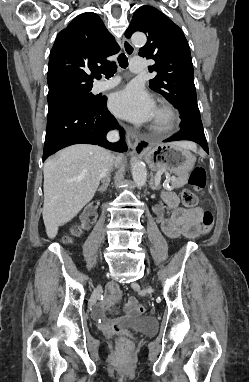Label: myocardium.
Masks as SVG:
<instances>
[{
	"instance_id": "obj_1",
	"label": "myocardium",
	"mask_w": 249,
	"mask_h": 382,
	"mask_svg": "<svg viewBox=\"0 0 249 382\" xmlns=\"http://www.w3.org/2000/svg\"><path fill=\"white\" fill-rule=\"evenodd\" d=\"M156 110L163 114L164 120L161 123H151L149 130L154 135H167L177 126L178 115L174 108L167 103H160Z\"/></svg>"
}]
</instances>
